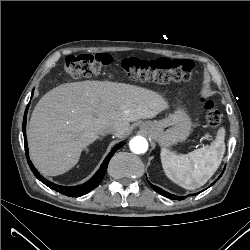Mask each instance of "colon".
<instances>
[{
    "label": "colon",
    "instance_id": "1",
    "mask_svg": "<svg viewBox=\"0 0 250 250\" xmlns=\"http://www.w3.org/2000/svg\"><path fill=\"white\" fill-rule=\"evenodd\" d=\"M114 64L108 54H78L66 59L64 70L71 78L98 76ZM120 68L133 80L142 82L170 83L190 81L197 74V68L190 60H174L160 58L156 60H140L134 57L124 58ZM206 120L210 128L217 130L222 122V115L214 103H205Z\"/></svg>",
    "mask_w": 250,
    "mask_h": 250
}]
</instances>
